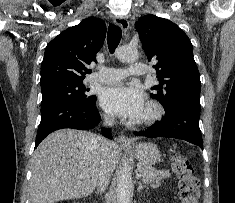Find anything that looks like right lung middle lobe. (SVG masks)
Instances as JSON below:
<instances>
[{
  "label": "right lung middle lobe",
  "instance_id": "right-lung-middle-lobe-1",
  "mask_svg": "<svg viewBox=\"0 0 235 203\" xmlns=\"http://www.w3.org/2000/svg\"><path fill=\"white\" fill-rule=\"evenodd\" d=\"M42 102L41 109L63 101L88 102L95 96L89 95L88 88L81 80L57 81L41 85Z\"/></svg>",
  "mask_w": 235,
  "mask_h": 203
}]
</instances>
